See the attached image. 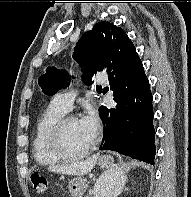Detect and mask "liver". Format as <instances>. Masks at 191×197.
I'll return each mask as SVG.
<instances>
[{"label": "liver", "mask_w": 191, "mask_h": 197, "mask_svg": "<svg viewBox=\"0 0 191 197\" xmlns=\"http://www.w3.org/2000/svg\"><path fill=\"white\" fill-rule=\"evenodd\" d=\"M98 156V154H95L84 161L72 162L70 164L52 165L48 168V170L55 173L82 176L88 174L94 168Z\"/></svg>", "instance_id": "1"}]
</instances>
